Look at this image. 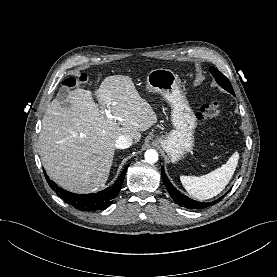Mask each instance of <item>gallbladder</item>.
<instances>
[{"mask_svg":"<svg viewBox=\"0 0 277 277\" xmlns=\"http://www.w3.org/2000/svg\"><path fill=\"white\" fill-rule=\"evenodd\" d=\"M68 95V89L67 88H61L57 97L59 99L60 102H62V106L64 107H69L70 104L69 103H64L63 101L66 99Z\"/></svg>","mask_w":277,"mask_h":277,"instance_id":"obj_1","label":"gallbladder"}]
</instances>
